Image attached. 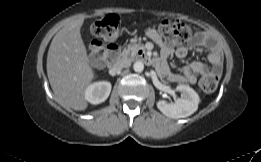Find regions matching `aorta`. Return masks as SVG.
<instances>
[{"mask_svg": "<svg viewBox=\"0 0 261 162\" xmlns=\"http://www.w3.org/2000/svg\"><path fill=\"white\" fill-rule=\"evenodd\" d=\"M133 69L135 72H142L144 70V64L141 61H136L133 65Z\"/></svg>", "mask_w": 261, "mask_h": 162, "instance_id": "1", "label": "aorta"}]
</instances>
